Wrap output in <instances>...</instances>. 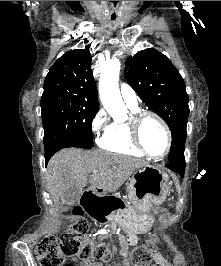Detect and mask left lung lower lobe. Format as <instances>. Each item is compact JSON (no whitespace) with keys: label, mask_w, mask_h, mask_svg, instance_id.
<instances>
[{"label":"left lung lower lobe","mask_w":221,"mask_h":266,"mask_svg":"<svg viewBox=\"0 0 221 266\" xmlns=\"http://www.w3.org/2000/svg\"><path fill=\"white\" fill-rule=\"evenodd\" d=\"M168 168L179 173L183 177L185 171V157L182 156L171 160L168 164Z\"/></svg>","instance_id":"0a47b994"}]
</instances>
